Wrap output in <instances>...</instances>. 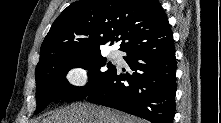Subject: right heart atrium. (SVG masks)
Wrapping results in <instances>:
<instances>
[{
    "label": "right heart atrium",
    "mask_w": 221,
    "mask_h": 123,
    "mask_svg": "<svg viewBox=\"0 0 221 123\" xmlns=\"http://www.w3.org/2000/svg\"><path fill=\"white\" fill-rule=\"evenodd\" d=\"M65 80L73 87H83L88 82L87 70L82 66H73L66 72Z\"/></svg>",
    "instance_id": "right-heart-atrium-1"
}]
</instances>
